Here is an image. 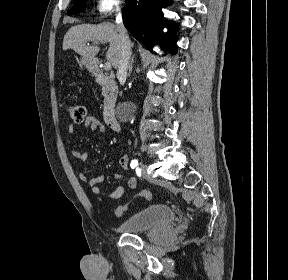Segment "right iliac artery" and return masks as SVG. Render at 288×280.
Segmentation results:
<instances>
[{
  "instance_id": "right-iliac-artery-1",
  "label": "right iliac artery",
  "mask_w": 288,
  "mask_h": 280,
  "mask_svg": "<svg viewBox=\"0 0 288 280\" xmlns=\"http://www.w3.org/2000/svg\"><path fill=\"white\" fill-rule=\"evenodd\" d=\"M130 166L131 168H138V161L136 159L132 160Z\"/></svg>"
}]
</instances>
